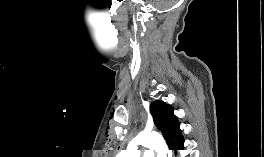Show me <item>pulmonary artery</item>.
Instances as JSON below:
<instances>
[{"label": "pulmonary artery", "mask_w": 264, "mask_h": 157, "mask_svg": "<svg viewBox=\"0 0 264 157\" xmlns=\"http://www.w3.org/2000/svg\"><path fill=\"white\" fill-rule=\"evenodd\" d=\"M142 157H154V153L152 150H145Z\"/></svg>", "instance_id": "e3ab8cb5"}]
</instances>
